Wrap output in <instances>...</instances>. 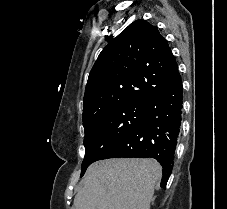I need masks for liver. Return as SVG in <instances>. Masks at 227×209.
<instances>
[{"instance_id": "obj_1", "label": "liver", "mask_w": 227, "mask_h": 209, "mask_svg": "<svg viewBox=\"0 0 227 209\" xmlns=\"http://www.w3.org/2000/svg\"><path fill=\"white\" fill-rule=\"evenodd\" d=\"M161 167L154 159H106L90 165L75 209H150Z\"/></svg>"}]
</instances>
